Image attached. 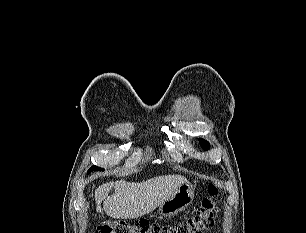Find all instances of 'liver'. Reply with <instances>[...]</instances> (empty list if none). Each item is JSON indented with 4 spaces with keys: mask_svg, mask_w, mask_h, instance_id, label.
<instances>
[{
    "mask_svg": "<svg viewBox=\"0 0 306 233\" xmlns=\"http://www.w3.org/2000/svg\"><path fill=\"white\" fill-rule=\"evenodd\" d=\"M188 180L181 175L154 177L146 182L135 183L125 180L107 182L95 190L96 211L103 210L114 219H134L152 212ZM114 193L108 196L110 190Z\"/></svg>",
    "mask_w": 306,
    "mask_h": 233,
    "instance_id": "obj_1",
    "label": "liver"
}]
</instances>
